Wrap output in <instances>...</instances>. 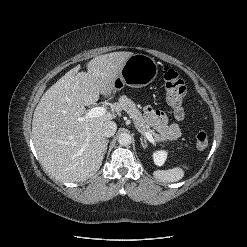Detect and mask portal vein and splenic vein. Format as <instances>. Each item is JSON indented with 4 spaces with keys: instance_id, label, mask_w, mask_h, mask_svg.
Returning a JSON list of instances; mask_svg holds the SVG:
<instances>
[{
    "instance_id": "obj_1",
    "label": "portal vein and splenic vein",
    "mask_w": 247,
    "mask_h": 247,
    "mask_svg": "<svg viewBox=\"0 0 247 247\" xmlns=\"http://www.w3.org/2000/svg\"><path fill=\"white\" fill-rule=\"evenodd\" d=\"M106 112H107V110H106L105 107H100V106H99V107H94V108L90 109V110L84 115V117L81 118V120H83V119H89V118H94V117H100V116L106 114ZM143 134H144L145 138H146L149 142H151V143H154V142H155L153 136H152L149 132L144 131Z\"/></svg>"
}]
</instances>
